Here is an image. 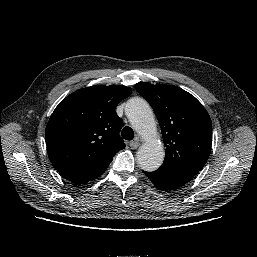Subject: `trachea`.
<instances>
[{
	"instance_id": "obj_1",
	"label": "trachea",
	"mask_w": 257,
	"mask_h": 257,
	"mask_svg": "<svg viewBox=\"0 0 257 257\" xmlns=\"http://www.w3.org/2000/svg\"><path fill=\"white\" fill-rule=\"evenodd\" d=\"M121 136L125 139V140H132L134 137V132L132 130L131 127L126 126L122 129L121 132Z\"/></svg>"
}]
</instances>
